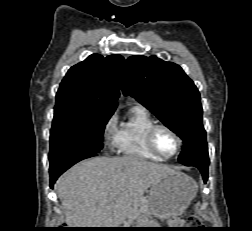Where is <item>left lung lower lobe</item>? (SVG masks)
<instances>
[{"mask_svg": "<svg viewBox=\"0 0 252 231\" xmlns=\"http://www.w3.org/2000/svg\"><path fill=\"white\" fill-rule=\"evenodd\" d=\"M184 165L197 167L200 170V172L202 173L204 182L206 183V181L208 179L209 159L203 160V161H192V162H188Z\"/></svg>", "mask_w": 252, "mask_h": 231, "instance_id": "left-lung-lower-lobe-1", "label": "left lung lower lobe"}]
</instances>
